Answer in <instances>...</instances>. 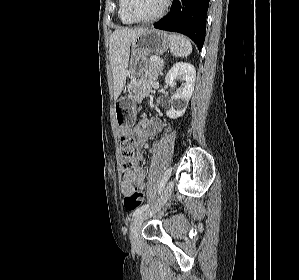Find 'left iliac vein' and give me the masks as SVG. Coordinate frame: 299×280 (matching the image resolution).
Returning <instances> with one entry per match:
<instances>
[{"label": "left iliac vein", "mask_w": 299, "mask_h": 280, "mask_svg": "<svg viewBox=\"0 0 299 280\" xmlns=\"http://www.w3.org/2000/svg\"><path fill=\"white\" fill-rule=\"evenodd\" d=\"M174 183L173 181H169L159 202L152 208L145 210L138 214L132 221L131 226H130V240L133 249L137 250L140 246V241H139V230L141 227V224L143 221L152 216L155 212L159 211L165 203L168 201L170 198L172 191H173Z\"/></svg>", "instance_id": "obj_1"}]
</instances>
